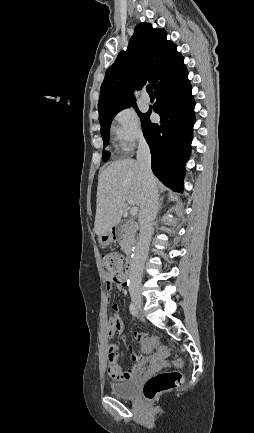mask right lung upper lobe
I'll return each mask as SVG.
<instances>
[{"label": "right lung upper lobe", "mask_w": 254, "mask_h": 433, "mask_svg": "<svg viewBox=\"0 0 254 433\" xmlns=\"http://www.w3.org/2000/svg\"><path fill=\"white\" fill-rule=\"evenodd\" d=\"M164 29L149 23L136 26L127 51H121L107 69L98 101L99 120L123 105L135 103L134 88L146 81L155 89L183 59Z\"/></svg>", "instance_id": "cb5924a9"}]
</instances>
